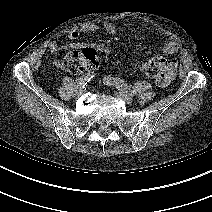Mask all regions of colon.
Masks as SVG:
<instances>
[{
    "mask_svg": "<svg viewBox=\"0 0 212 212\" xmlns=\"http://www.w3.org/2000/svg\"><path fill=\"white\" fill-rule=\"evenodd\" d=\"M57 67L73 75L80 74L85 70L93 69L97 65L96 51L87 47L81 51H73L62 56L57 61ZM165 67L164 59H148L141 63V71L148 77L161 81L168 76V68Z\"/></svg>",
    "mask_w": 212,
    "mask_h": 212,
    "instance_id": "5ec220e1",
    "label": "colon"
}]
</instances>
